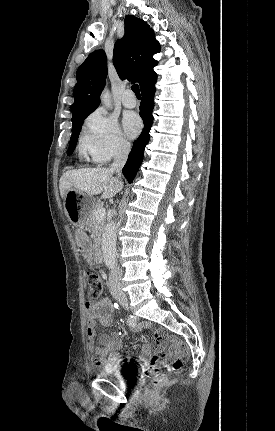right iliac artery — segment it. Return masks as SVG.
<instances>
[{"label": "right iliac artery", "mask_w": 275, "mask_h": 431, "mask_svg": "<svg viewBox=\"0 0 275 431\" xmlns=\"http://www.w3.org/2000/svg\"><path fill=\"white\" fill-rule=\"evenodd\" d=\"M127 324L131 327H135L137 325L136 318L133 316L128 317Z\"/></svg>", "instance_id": "82829eb1"}]
</instances>
